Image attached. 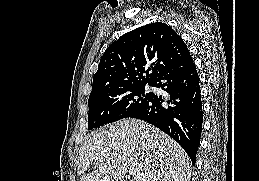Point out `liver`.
Masks as SVG:
<instances>
[{"mask_svg": "<svg viewBox=\"0 0 259 181\" xmlns=\"http://www.w3.org/2000/svg\"><path fill=\"white\" fill-rule=\"evenodd\" d=\"M191 165L167 134L144 121L123 119L85 141L77 173L80 181H124L134 168L138 173L130 181H190Z\"/></svg>", "mask_w": 259, "mask_h": 181, "instance_id": "obj_1", "label": "liver"}]
</instances>
